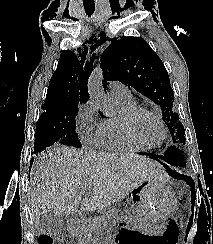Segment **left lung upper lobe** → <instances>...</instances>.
Instances as JSON below:
<instances>
[{"instance_id":"obj_1","label":"left lung upper lobe","mask_w":213,"mask_h":244,"mask_svg":"<svg viewBox=\"0 0 213 244\" xmlns=\"http://www.w3.org/2000/svg\"><path fill=\"white\" fill-rule=\"evenodd\" d=\"M100 66L106 80H118L160 106L172 142L180 141L185 144V130L173 107L174 93L169 75L159 56L144 39H112L101 55ZM168 149L173 153L174 166L184 168L186 160L183 152L172 146Z\"/></svg>"}]
</instances>
